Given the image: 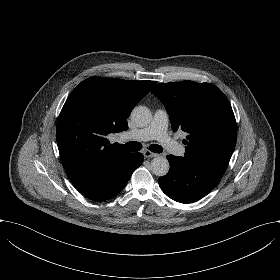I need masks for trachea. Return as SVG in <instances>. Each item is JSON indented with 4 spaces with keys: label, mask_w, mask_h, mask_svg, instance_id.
<instances>
[{
    "label": "trachea",
    "mask_w": 280,
    "mask_h": 280,
    "mask_svg": "<svg viewBox=\"0 0 280 280\" xmlns=\"http://www.w3.org/2000/svg\"><path fill=\"white\" fill-rule=\"evenodd\" d=\"M114 146L118 149L128 151V152H137V151H140L142 148V145L136 141H130L126 144L115 143ZM149 149H150V151H152L154 153H161L163 151V147H161L158 144L150 145Z\"/></svg>",
    "instance_id": "1"
}]
</instances>
